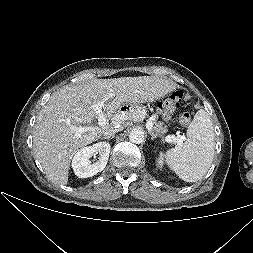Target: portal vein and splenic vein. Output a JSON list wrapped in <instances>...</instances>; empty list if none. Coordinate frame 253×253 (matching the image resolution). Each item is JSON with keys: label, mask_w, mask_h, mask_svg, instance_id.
I'll use <instances>...</instances> for the list:
<instances>
[{"label": "portal vein and splenic vein", "mask_w": 253, "mask_h": 253, "mask_svg": "<svg viewBox=\"0 0 253 253\" xmlns=\"http://www.w3.org/2000/svg\"><path fill=\"white\" fill-rule=\"evenodd\" d=\"M104 106V101H100L92 106L93 111L96 113L98 116V124L99 126H105L108 122V119L103 115L102 109ZM114 120L119 121L123 120V117L121 115H115L113 117ZM146 127L149 131L152 130L153 123L151 120H147L146 122ZM92 129V127H76L75 131L77 134L88 131ZM167 142H181L184 140L183 136L177 135L176 137L173 135H168L165 139Z\"/></svg>", "instance_id": "obj_1"}]
</instances>
